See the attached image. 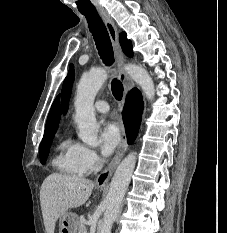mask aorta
I'll list each match as a JSON object with an SVG mask.
<instances>
[{"label": "aorta", "instance_id": "1", "mask_svg": "<svg viewBox=\"0 0 227 233\" xmlns=\"http://www.w3.org/2000/svg\"><path fill=\"white\" fill-rule=\"evenodd\" d=\"M125 71L142 88L147 99L152 101L155 90L153 80L148 72L143 67L135 64L126 65ZM107 77L108 73L105 69H94L84 74L77 86L74 105L76 111L75 122L79 128L78 136L85 144L91 147H96L99 144V125L95 117L94 100ZM135 164L136 154L131 153L117 167L106 197V209L100 233H111L112 225L117 218Z\"/></svg>", "mask_w": 227, "mask_h": 233}]
</instances>
